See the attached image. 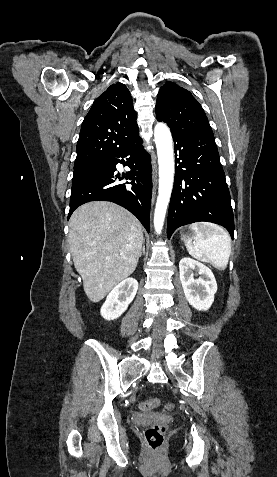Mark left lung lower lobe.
<instances>
[{
    "instance_id": "1",
    "label": "left lung lower lobe",
    "mask_w": 277,
    "mask_h": 477,
    "mask_svg": "<svg viewBox=\"0 0 277 477\" xmlns=\"http://www.w3.org/2000/svg\"><path fill=\"white\" fill-rule=\"evenodd\" d=\"M176 173L167 236L180 226L207 221L234 238V218L225 174L213 135L173 132Z\"/></svg>"
}]
</instances>
